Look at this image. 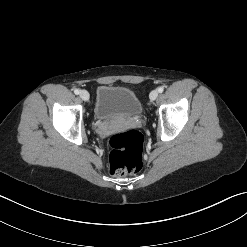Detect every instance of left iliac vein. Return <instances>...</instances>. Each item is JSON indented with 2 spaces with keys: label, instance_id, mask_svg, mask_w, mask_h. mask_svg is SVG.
<instances>
[{
  "label": "left iliac vein",
  "instance_id": "obj_1",
  "mask_svg": "<svg viewBox=\"0 0 247 247\" xmlns=\"http://www.w3.org/2000/svg\"><path fill=\"white\" fill-rule=\"evenodd\" d=\"M149 97L152 101L156 100V98L158 97V91L157 90L151 91Z\"/></svg>",
  "mask_w": 247,
  "mask_h": 247
}]
</instances>
